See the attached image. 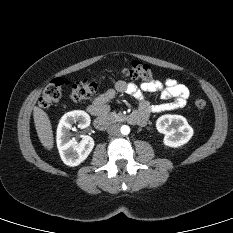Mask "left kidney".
Listing matches in <instances>:
<instances>
[{
	"label": "left kidney",
	"instance_id": "obj_1",
	"mask_svg": "<svg viewBox=\"0 0 233 233\" xmlns=\"http://www.w3.org/2000/svg\"><path fill=\"white\" fill-rule=\"evenodd\" d=\"M156 128L165 135L164 145L172 148L186 144L194 133L186 118L181 115H162L156 121Z\"/></svg>",
	"mask_w": 233,
	"mask_h": 233
}]
</instances>
